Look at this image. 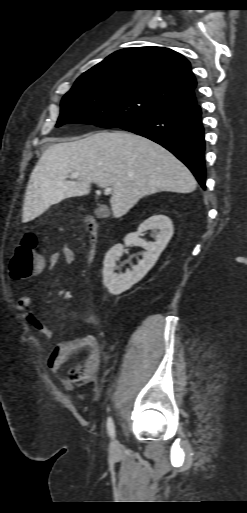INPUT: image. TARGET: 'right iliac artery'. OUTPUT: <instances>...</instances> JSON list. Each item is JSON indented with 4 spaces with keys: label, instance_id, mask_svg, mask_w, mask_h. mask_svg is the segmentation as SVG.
<instances>
[{
    "label": "right iliac artery",
    "instance_id": "right-iliac-artery-1",
    "mask_svg": "<svg viewBox=\"0 0 247 513\" xmlns=\"http://www.w3.org/2000/svg\"><path fill=\"white\" fill-rule=\"evenodd\" d=\"M107 430H108L109 436L113 437L115 434V426H114L113 419L111 417H109L107 419Z\"/></svg>",
    "mask_w": 247,
    "mask_h": 513
}]
</instances>
